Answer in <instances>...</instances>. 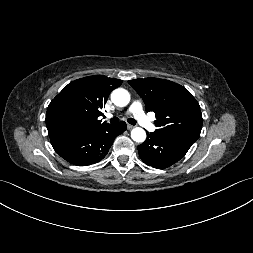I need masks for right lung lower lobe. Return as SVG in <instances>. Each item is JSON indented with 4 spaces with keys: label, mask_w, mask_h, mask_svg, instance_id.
<instances>
[{
    "label": "right lung lower lobe",
    "mask_w": 253,
    "mask_h": 253,
    "mask_svg": "<svg viewBox=\"0 0 253 253\" xmlns=\"http://www.w3.org/2000/svg\"><path fill=\"white\" fill-rule=\"evenodd\" d=\"M126 123L109 125L52 144L58 155L71 164L86 166L101 161L113 140L126 130Z\"/></svg>",
    "instance_id": "obj_1"
}]
</instances>
